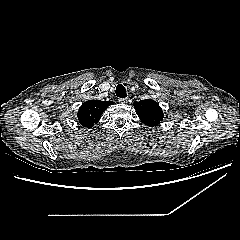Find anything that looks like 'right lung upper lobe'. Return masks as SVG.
<instances>
[{"instance_id":"cb5924a9","label":"right lung upper lobe","mask_w":240,"mask_h":240,"mask_svg":"<svg viewBox=\"0 0 240 240\" xmlns=\"http://www.w3.org/2000/svg\"><path fill=\"white\" fill-rule=\"evenodd\" d=\"M112 101L89 100L82 104L78 111V119L82 126L90 128L96 124Z\"/></svg>"}]
</instances>
